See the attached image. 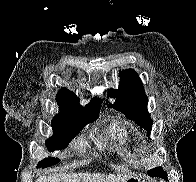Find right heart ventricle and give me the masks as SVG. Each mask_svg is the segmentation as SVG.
I'll return each mask as SVG.
<instances>
[{"instance_id":"e07e8e85","label":"right heart ventricle","mask_w":196,"mask_h":182,"mask_svg":"<svg viewBox=\"0 0 196 182\" xmlns=\"http://www.w3.org/2000/svg\"><path fill=\"white\" fill-rule=\"evenodd\" d=\"M110 136L120 142H126L129 139V132L126 126L121 122L113 123L109 128Z\"/></svg>"}]
</instances>
